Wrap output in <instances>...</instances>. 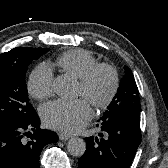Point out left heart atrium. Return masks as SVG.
Masks as SVG:
<instances>
[{
	"label": "left heart atrium",
	"mask_w": 168,
	"mask_h": 168,
	"mask_svg": "<svg viewBox=\"0 0 168 168\" xmlns=\"http://www.w3.org/2000/svg\"><path fill=\"white\" fill-rule=\"evenodd\" d=\"M44 123L56 130L75 133L85 127L92 117V110L84 98L77 100H57L43 108Z\"/></svg>",
	"instance_id": "obj_1"
}]
</instances>
